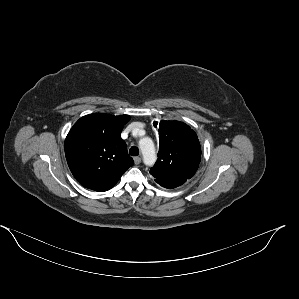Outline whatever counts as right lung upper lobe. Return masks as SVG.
<instances>
[{
  "mask_svg": "<svg viewBox=\"0 0 299 299\" xmlns=\"http://www.w3.org/2000/svg\"><path fill=\"white\" fill-rule=\"evenodd\" d=\"M128 115L94 113L80 118L65 139V155L76 180L103 192L112 188L134 164L121 131Z\"/></svg>",
  "mask_w": 299,
  "mask_h": 299,
  "instance_id": "cb5924a9",
  "label": "right lung upper lobe"
}]
</instances>
